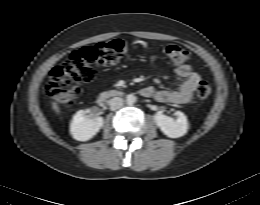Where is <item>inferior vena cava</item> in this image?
Wrapping results in <instances>:
<instances>
[{
    "mask_svg": "<svg viewBox=\"0 0 260 205\" xmlns=\"http://www.w3.org/2000/svg\"><path fill=\"white\" fill-rule=\"evenodd\" d=\"M110 109L117 110L123 106V99L120 97H114L109 101Z\"/></svg>",
    "mask_w": 260,
    "mask_h": 205,
    "instance_id": "obj_1",
    "label": "inferior vena cava"
}]
</instances>
